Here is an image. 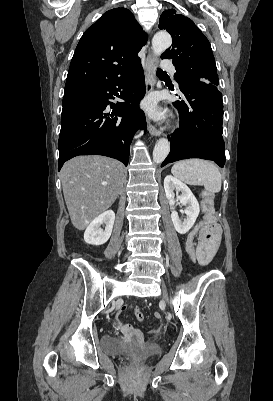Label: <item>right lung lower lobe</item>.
<instances>
[{"instance_id": "right-lung-lower-lobe-1", "label": "right lung lower lobe", "mask_w": 273, "mask_h": 401, "mask_svg": "<svg viewBox=\"0 0 273 401\" xmlns=\"http://www.w3.org/2000/svg\"><path fill=\"white\" fill-rule=\"evenodd\" d=\"M118 91L125 102L110 103L108 99L118 96ZM144 95V74L138 62L106 84L63 101L58 170L72 157L88 154L112 157L127 166L133 135L146 128L145 115L136 106Z\"/></svg>"}]
</instances>
